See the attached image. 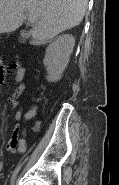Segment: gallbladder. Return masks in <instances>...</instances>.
Wrapping results in <instances>:
<instances>
[{
  "label": "gallbladder",
  "mask_w": 119,
  "mask_h": 185,
  "mask_svg": "<svg viewBox=\"0 0 119 185\" xmlns=\"http://www.w3.org/2000/svg\"><path fill=\"white\" fill-rule=\"evenodd\" d=\"M21 36H22L23 39H26L28 37V33L25 32V31H22Z\"/></svg>",
  "instance_id": "obj_1"
}]
</instances>
